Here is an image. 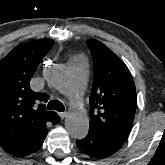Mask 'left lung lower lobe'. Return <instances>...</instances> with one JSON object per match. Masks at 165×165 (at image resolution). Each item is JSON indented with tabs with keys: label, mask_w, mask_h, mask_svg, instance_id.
Returning <instances> with one entry per match:
<instances>
[{
	"label": "left lung lower lobe",
	"mask_w": 165,
	"mask_h": 165,
	"mask_svg": "<svg viewBox=\"0 0 165 165\" xmlns=\"http://www.w3.org/2000/svg\"><path fill=\"white\" fill-rule=\"evenodd\" d=\"M122 143L123 141L89 127L87 136L82 140H77V147L91 158L102 159L116 153Z\"/></svg>",
	"instance_id": "left-lung-lower-lobe-1"
}]
</instances>
